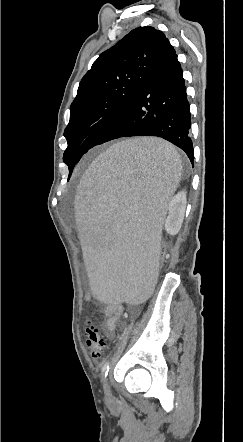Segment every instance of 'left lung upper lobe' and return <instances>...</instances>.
<instances>
[{
    "label": "left lung upper lobe",
    "instance_id": "1",
    "mask_svg": "<svg viewBox=\"0 0 243 442\" xmlns=\"http://www.w3.org/2000/svg\"><path fill=\"white\" fill-rule=\"evenodd\" d=\"M153 27L132 30L103 52L82 78L64 131L63 161L70 174L83 154L111 131L168 44Z\"/></svg>",
    "mask_w": 243,
    "mask_h": 442
}]
</instances>
